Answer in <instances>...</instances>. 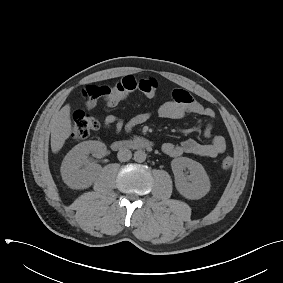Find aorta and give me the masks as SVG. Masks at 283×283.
Segmentation results:
<instances>
[{
  "label": "aorta",
  "instance_id": "aorta-1",
  "mask_svg": "<svg viewBox=\"0 0 283 283\" xmlns=\"http://www.w3.org/2000/svg\"><path fill=\"white\" fill-rule=\"evenodd\" d=\"M146 153L143 150H137L134 153V160L138 163H142L146 160Z\"/></svg>",
  "mask_w": 283,
  "mask_h": 283
}]
</instances>
